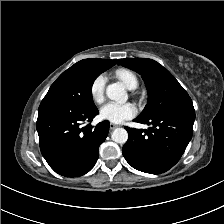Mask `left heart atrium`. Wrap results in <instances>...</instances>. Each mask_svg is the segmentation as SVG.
<instances>
[{"mask_svg":"<svg viewBox=\"0 0 224 224\" xmlns=\"http://www.w3.org/2000/svg\"><path fill=\"white\" fill-rule=\"evenodd\" d=\"M136 108L132 103L108 102L100 109V116L113 123H122L136 115Z\"/></svg>","mask_w":224,"mask_h":224,"instance_id":"left-heart-atrium-1","label":"left heart atrium"}]
</instances>
